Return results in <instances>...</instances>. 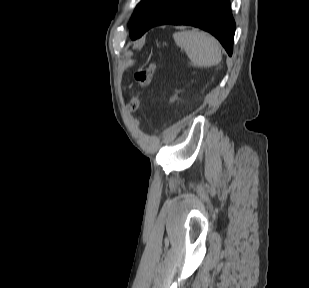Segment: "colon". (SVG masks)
Returning a JSON list of instances; mask_svg holds the SVG:
<instances>
[{"instance_id":"1","label":"colon","mask_w":309,"mask_h":288,"mask_svg":"<svg viewBox=\"0 0 309 288\" xmlns=\"http://www.w3.org/2000/svg\"><path fill=\"white\" fill-rule=\"evenodd\" d=\"M154 72H155V65L153 63L141 66L135 71L134 78L138 85V89L136 94L133 96V98L128 104V109L131 113L137 111L138 108L140 107L141 104L140 92L151 83ZM131 120L135 124L138 123L137 119L133 115H131Z\"/></svg>"}]
</instances>
